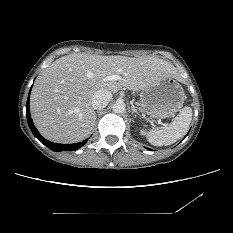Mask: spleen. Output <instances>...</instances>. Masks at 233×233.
Instances as JSON below:
<instances>
[{"label": "spleen", "instance_id": "1", "mask_svg": "<svg viewBox=\"0 0 233 233\" xmlns=\"http://www.w3.org/2000/svg\"><path fill=\"white\" fill-rule=\"evenodd\" d=\"M192 120V109L184 107L171 123L149 131L148 141L154 146H168L183 137Z\"/></svg>", "mask_w": 233, "mask_h": 233}]
</instances>
